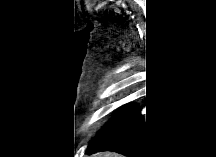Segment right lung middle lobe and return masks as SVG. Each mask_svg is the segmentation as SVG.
<instances>
[{"mask_svg":"<svg viewBox=\"0 0 216 157\" xmlns=\"http://www.w3.org/2000/svg\"><path fill=\"white\" fill-rule=\"evenodd\" d=\"M131 103L125 104L119 113H117L107 124L96 134V136L89 142L88 146H93L112 132L120 123L121 119L126 114L127 110L130 108Z\"/></svg>","mask_w":216,"mask_h":157,"instance_id":"1","label":"right lung middle lobe"}]
</instances>
